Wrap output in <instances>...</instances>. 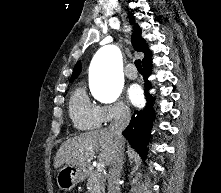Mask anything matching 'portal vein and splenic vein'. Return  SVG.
<instances>
[{"mask_svg": "<svg viewBox=\"0 0 221 193\" xmlns=\"http://www.w3.org/2000/svg\"><path fill=\"white\" fill-rule=\"evenodd\" d=\"M88 151L94 152V149L89 148ZM104 168H105V164L104 163H102V162L98 163V165H97V171L98 172H102L104 170Z\"/></svg>", "mask_w": 221, "mask_h": 193, "instance_id": "obj_1", "label": "portal vein and splenic vein"}]
</instances>
